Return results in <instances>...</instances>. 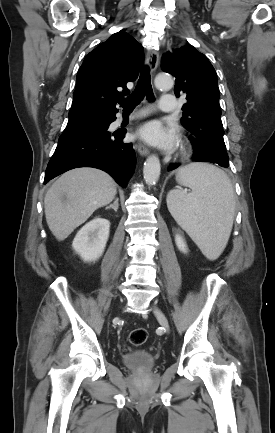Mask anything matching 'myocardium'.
Here are the masks:
<instances>
[{"label": "myocardium", "instance_id": "obj_1", "mask_svg": "<svg viewBox=\"0 0 275 433\" xmlns=\"http://www.w3.org/2000/svg\"><path fill=\"white\" fill-rule=\"evenodd\" d=\"M180 151H181L182 154H187L188 147H187V145L185 143H181L180 144Z\"/></svg>", "mask_w": 275, "mask_h": 433}]
</instances>
